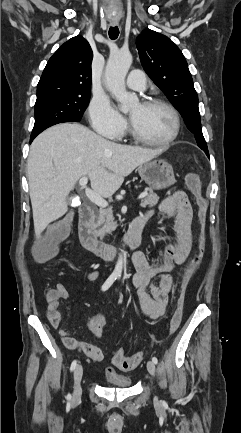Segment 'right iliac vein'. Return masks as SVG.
I'll list each match as a JSON object with an SVG mask.
<instances>
[{"mask_svg": "<svg viewBox=\"0 0 241 433\" xmlns=\"http://www.w3.org/2000/svg\"><path fill=\"white\" fill-rule=\"evenodd\" d=\"M83 376L82 365H77L74 370V390L72 395V401L78 402L81 399L82 389H81V379Z\"/></svg>", "mask_w": 241, "mask_h": 433, "instance_id": "right-iliac-vein-1", "label": "right iliac vein"}]
</instances>
